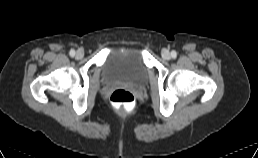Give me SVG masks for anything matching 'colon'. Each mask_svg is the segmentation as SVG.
Instances as JSON below:
<instances>
[{"instance_id": "1", "label": "colon", "mask_w": 258, "mask_h": 158, "mask_svg": "<svg viewBox=\"0 0 258 158\" xmlns=\"http://www.w3.org/2000/svg\"><path fill=\"white\" fill-rule=\"evenodd\" d=\"M110 101L115 106L130 110L135 103V97L129 90L117 89L111 94Z\"/></svg>"}]
</instances>
